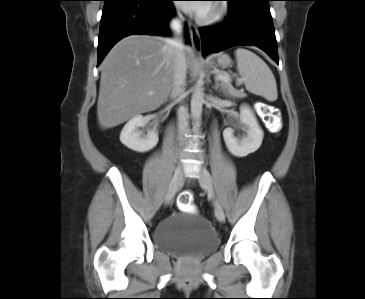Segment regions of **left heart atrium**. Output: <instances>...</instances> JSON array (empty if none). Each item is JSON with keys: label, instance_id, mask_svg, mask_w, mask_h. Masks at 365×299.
Listing matches in <instances>:
<instances>
[{"label": "left heart atrium", "instance_id": "obj_1", "mask_svg": "<svg viewBox=\"0 0 365 299\" xmlns=\"http://www.w3.org/2000/svg\"><path fill=\"white\" fill-rule=\"evenodd\" d=\"M196 3H186L181 6L188 12L195 13L197 15H203L209 8V5L205 3L206 1H191Z\"/></svg>", "mask_w": 365, "mask_h": 299}]
</instances>
